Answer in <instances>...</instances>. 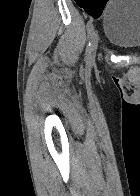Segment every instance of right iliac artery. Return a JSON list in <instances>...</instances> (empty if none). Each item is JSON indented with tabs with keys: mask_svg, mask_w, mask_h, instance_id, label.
Returning <instances> with one entry per match:
<instances>
[{
	"mask_svg": "<svg viewBox=\"0 0 140 196\" xmlns=\"http://www.w3.org/2000/svg\"><path fill=\"white\" fill-rule=\"evenodd\" d=\"M94 30V27H93V21L92 20H89L88 21V24H87V31H88V35L90 36L92 31ZM90 46H91V42L88 43L87 45V48H86V51L89 52L90 50Z\"/></svg>",
	"mask_w": 140,
	"mask_h": 196,
	"instance_id": "right-iliac-artery-1",
	"label": "right iliac artery"
}]
</instances>
